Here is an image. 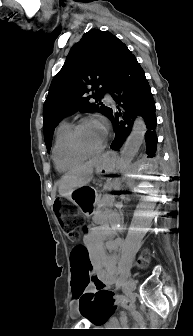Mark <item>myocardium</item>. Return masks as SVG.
I'll return each instance as SVG.
<instances>
[{"label": "myocardium", "instance_id": "obj_1", "mask_svg": "<svg viewBox=\"0 0 193 336\" xmlns=\"http://www.w3.org/2000/svg\"><path fill=\"white\" fill-rule=\"evenodd\" d=\"M89 123H96V122L92 119H87V118L82 119L75 126L72 127L70 134H69V144H70L71 149L75 153L81 156H84V157H91V156L100 154L105 149L108 139H109V132L106 127H103L105 131V137H104L102 144L95 150H87L86 148H84L79 142L78 134H79V131L85 125Z\"/></svg>", "mask_w": 193, "mask_h": 336}]
</instances>
